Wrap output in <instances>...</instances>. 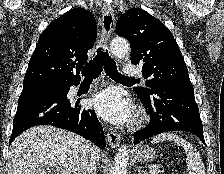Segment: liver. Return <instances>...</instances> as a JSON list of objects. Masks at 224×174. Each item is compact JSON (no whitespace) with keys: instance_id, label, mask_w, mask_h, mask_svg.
Returning a JSON list of instances; mask_svg holds the SVG:
<instances>
[{"instance_id":"6515ba94","label":"liver","mask_w":224,"mask_h":174,"mask_svg":"<svg viewBox=\"0 0 224 174\" xmlns=\"http://www.w3.org/2000/svg\"><path fill=\"white\" fill-rule=\"evenodd\" d=\"M83 137L50 125L35 126L20 134L11 144L8 174H76L84 147ZM97 161L100 159L97 149Z\"/></svg>"}]
</instances>
